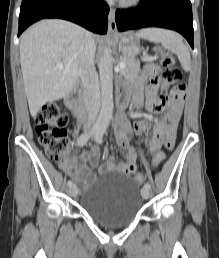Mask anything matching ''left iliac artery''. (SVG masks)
Instances as JSON below:
<instances>
[{"label":"left iliac artery","mask_w":219,"mask_h":258,"mask_svg":"<svg viewBox=\"0 0 219 258\" xmlns=\"http://www.w3.org/2000/svg\"><path fill=\"white\" fill-rule=\"evenodd\" d=\"M103 134H104V129H103V128L98 129V130L95 132V134H94V140H95L97 143H102ZM144 188L150 189L151 186H150L149 183H145V184H144Z\"/></svg>","instance_id":"left-iliac-artery-1"}]
</instances>
